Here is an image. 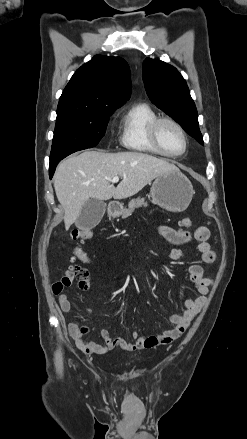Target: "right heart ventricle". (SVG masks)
Instances as JSON below:
<instances>
[{"label": "right heart ventricle", "instance_id": "1", "mask_svg": "<svg viewBox=\"0 0 247 439\" xmlns=\"http://www.w3.org/2000/svg\"><path fill=\"white\" fill-rule=\"evenodd\" d=\"M158 117V113L149 104H133L120 122V144L131 151L160 154L149 137L150 126Z\"/></svg>", "mask_w": 247, "mask_h": 439}]
</instances>
